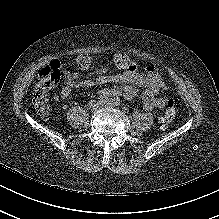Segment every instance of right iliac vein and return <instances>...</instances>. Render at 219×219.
Returning <instances> with one entry per match:
<instances>
[{
	"label": "right iliac vein",
	"mask_w": 219,
	"mask_h": 219,
	"mask_svg": "<svg viewBox=\"0 0 219 219\" xmlns=\"http://www.w3.org/2000/svg\"><path fill=\"white\" fill-rule=\"evenodd\" d=\"M102 106V104H100V103H95L93 106H92V108H91V111L93 112V113H95V112H97L98 110H99V108Z\"/></svg>",
	"instance_id": "1"
}]
</instances>
